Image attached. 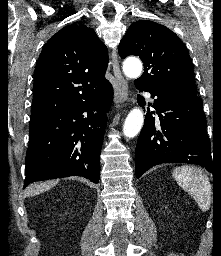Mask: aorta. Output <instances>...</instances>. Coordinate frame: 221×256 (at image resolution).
Listing matches in <instances>:
<instances>
[{"label": "aorta", "instance_id": "1", "mask_svg": "<svg viewBox=\"0 0 221 256\" xmlns=\"http://www.w3.org/2000/svg\"><path fill=\"white\" fill-rule=\"evenodd\" d=\"M123 71L127 77L137 78L142 72V63L138 59L127 60L123 64ZM144 122L143 112L139 108L132 109L123 126L124 135L128 138L135 137L141 130Z\"/></svg>", "mask_w": 221, "mask_h": 256}]
</instances>
